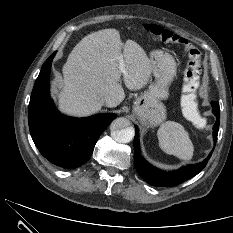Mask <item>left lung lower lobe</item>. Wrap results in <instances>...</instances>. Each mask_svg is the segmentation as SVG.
I'll return each mask as SVG.
<instances>
[{"mask_svg":"<svg viewBox=\"0 0 233 233\" xmlns=\"http://www.w3.org/2000/svg\"><path fill=\"white\" fill-rule=\"evenodd\" d=\"M212 112L217 117V120L213 126L214 142L217 141V135L219 130V104L217 102H211ZM136 134L134 138V153L135 159L134 164L139 175L153 186L158 187H170L180 184L184 180H188L198 174L207 164L209 158L212 155L213 150L210 152L208 157L201 163L196 165H187L175 171H162L144 160L141 155L139 147V133L135 126Z\"/></svg>","mask_w":233,"mask_h":233,"instance_id":"obj_1","label":"left lung lower lobe"}]
</instances>
